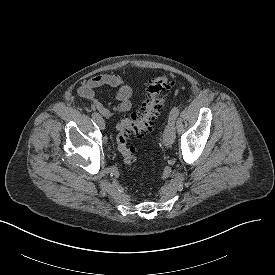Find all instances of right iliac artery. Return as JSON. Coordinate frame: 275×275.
I'll use <instances>...</instances> for the list:
<instances>
[{
  "mask_svg": "<svg viewBox=\"0 0 275 275\" xmlns=\"http://www.w3.org/2000/svg\"><path fill=\"white\" fill-rule=\"evenodd\" d=\"M99 114L97 112L92 113V118L94 121H96L99 118Z\"/></svg>",
  "mask_w": 275,
  "mask_h": 275,
  "instance_id": "82829eb1",
  "label": "right iliac artery"
}]
</instances>
